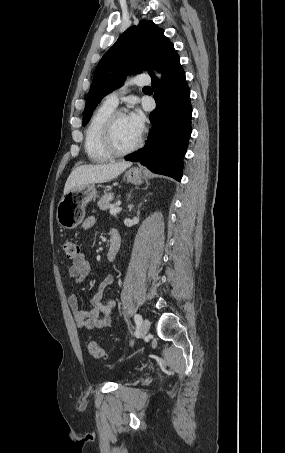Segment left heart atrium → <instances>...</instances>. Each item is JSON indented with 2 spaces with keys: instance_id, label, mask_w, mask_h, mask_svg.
Segmentation results:
<instances>
[{
  "instance_id": "left-heart-atrium-1",
  "label": "left heart atrium",
  "mask_w": 285,
  "mask_h": 453,
  "mask_svg": "<svg viewBox=\"0 0 285 453\" xmlns=\"http://www.w3.org/2000/svg\"><path fill=\"white\" fill-rule=\"evenodd\" d=\"M129 116L134 125L142 132L145 122L143 113L139 109H135Z\"/></svg>"
}]
</instances>
